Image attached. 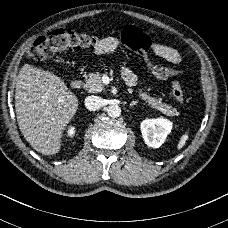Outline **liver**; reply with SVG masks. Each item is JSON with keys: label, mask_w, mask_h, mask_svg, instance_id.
Listing matches in <instances>:
<instances>
[{"label": "liver", "mask_w": 228, "mask_h": 228, "mask_svg": "<svg viewBox=\"0 0 228 228\" xmlns=\"http://www.w3.org/2000/svg\"><path fill=\"white\" fill-rule=\"evenodd\" d=\"M78 109V99L49 71L25 64L18 74L15 111L19 129L34 150L59 152L61 137Z\"/></svg>", "instance_id": "6515ba94"}]
</instances>
